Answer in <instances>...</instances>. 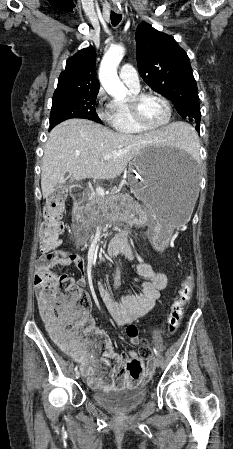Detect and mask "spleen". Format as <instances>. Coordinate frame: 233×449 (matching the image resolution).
Segmentation results:
<instances>
[{
  "label": "spleen",
  "instance_id": "3e777b00",
  "mask_svg": "<svg viewBox=\"0 0 233 449\" xmlns=\"http://www.w3.org/2000/svg\"><path fill=\"white\" fill-rule=\"evenodd\" d=\"M183 125L185 126V133L180 134V138L177 142H174V145L187 152L196 151L199 147L197 135L189 124L183 123Z\"/></svg>",
  "mask_w": 233,
  "mask_h": 449
}]
</instances>
